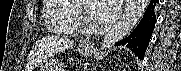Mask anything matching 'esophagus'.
<instances>
[{
	"label": "esophagus",
	"mask_w": 181,
	"mask_h": 71,
	"mask_svg": "<svg viewBox=\"0 0 181 71\" xmlns=\"http://www.w3.org/2000/svg\"><path fill=\"white\" fill-rule=\"evenodd\" d=\"M128 3H129V0H126V1H125V6H127V5H128Z\"/></svg>",
	"instance_id": "obj_1"
}]
</instances>
